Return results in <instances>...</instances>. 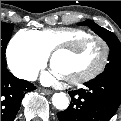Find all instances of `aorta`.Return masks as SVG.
Segmentation results:
<instances>
[{"mask_svg":"<svg viewBox=\"0 0 121 121\" xmlns=\"http://www.w3.org/2000/svg\"><path fill=\"white\" fill-rule=\"evenodd\" d=\"M52 103L55 108L65 110L69 106V99L65 93H55L52 97Z\"/></svg>","mask_w":121,"mask_h":121,"instance_id":"1","label":"aorta"}]
</instances>
